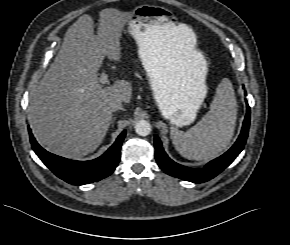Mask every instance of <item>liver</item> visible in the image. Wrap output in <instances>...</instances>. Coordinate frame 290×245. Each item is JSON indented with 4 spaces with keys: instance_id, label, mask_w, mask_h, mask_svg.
<instances>
[{
    "instance_id": "1",
    "label": "liver",
    "mask_w": 290,
    "mask_h": 245,
    "mask_svg": "<svg viewBox=\"0 0 290 245\" xmlns=\"http://www.w3.org/2000/svg\"><path fill=\"white\" fill-rule=\"evenodd\" d=\"M128 19L117 11L103 10L97 35L89 15L79 17L67 30L28 108L33 134L46 149L74 159L88 155L108 131L113 113L110 104L116 100L130 103V82L117 80L113 86L102 87L97 74L105 56L120 61L121 31ZM186 31L185 26L166 31L173 57L184 67L197 53Z\"/></svg>"
}]
</instances>
